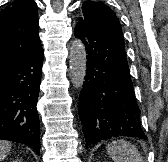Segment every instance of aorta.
<instances>
[{"label": "aorta", "mask_w": 168, "mask_h": 162, "mask_svg": "<svg viewBox=\"0 0 168 162\" xmlns=\"http://www.w3.org/2000/svg\"><path fill=\"white\" fill-rule=\"evenodd\" d=\"M70 78L76 89H81L86 75V49L82 41L76 40L70 47Z\"/></svg>", "instance_id": "obj_1"}]
</instances>
